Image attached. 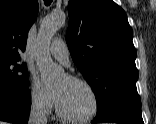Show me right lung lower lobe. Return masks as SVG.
Here are the masks:
<instances>
[{
    "label": "right lung lower lobe",
    "mask_w": 156,
    "mask_h": 124,
    "mask_svg": "<svg viewBox=\"0 0 156 124\" xmlns=\"http://www.w3.org/2000/svg\"><path fill=\"white\" fill-rule=\"evenodd\" d=\"M31 108L29 89L25 91L0 86V120L16 124L28 122Z\"/></svg>",
    "instance_id": "1"
}]
</instances>
